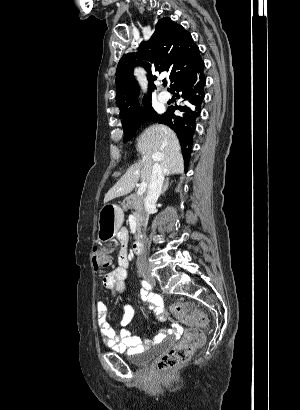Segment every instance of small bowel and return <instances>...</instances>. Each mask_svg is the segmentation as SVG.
<instances>
[{"label": "small bowel", "mask_w": 300, "mask_h": 410, "mask_svg": "<svg viewBox=\"0 0 300 410\" xmlns=\"http://www.w3.org/2000/svg\"><path fill=\"white\" fill-rule=\"evenodd\" d=\"M118 238L121 243V248L118 253V266L102 277V285L114 293H123L126 290L127 268L129 265L127 251L128 238L125 232H121ZM140 297L146 303L155 319L160 322H164L168 319L162 307V298L158 294L141 290ZM96 310L99 332L103 343L117 351L129 354L141 352L147 346L161 341L168 333L166 330H161L155 336L144 340L134 336L132 330L129 328V324L134 315V309L130 304H126L123 307V314L120 319V330L118 332L112 329L107 322L108 305L105 302L99 301L96 304ZM176 328L174 325L170 332Z\"/></svg>", "instance_id": "small-bowel-1"}]
</instances>
